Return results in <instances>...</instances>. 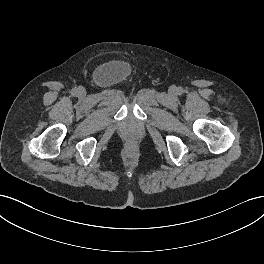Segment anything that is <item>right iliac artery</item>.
<instances>
[{
  "label": "right iliac artery",
  "mask_w": 264,
  "mask_h": 264,
  "mask_svg": "<svg viewBox=\"0 0 264 264\" xmlns=\"http://www.w3.org/2000/svg\"><path fill=\"white\" fill-rule=\"evenodd\" d=\"M72 93L76 94L77 93V88L72 89Z\"/></svg>",
  "instance_id": "82829eb1"
}]
</instances>
